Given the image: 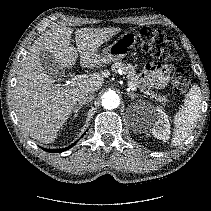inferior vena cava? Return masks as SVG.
I'll use <instances>...</instances> for the list:
<instances>
[{"mask_svg":"<svg viewBox=\"0 0 211 211\" xmlns=\"http://www.w3.org/2000/svg\"><path fill=\"white\" fill-rule=\"evenodd\" d=\"M94 97V91H92L91 89H85L77 95V101L79 104H87L90 103L94 99Z\"/></svg>","mask_w":211,"mask_h":211,"instance_id":"obj_1","label":"inferior vena cava"}]
</instances>
